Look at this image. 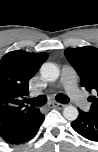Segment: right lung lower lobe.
<instances>
[{"label":"right lung lower lobe","instance_id":"obj_1","mask_svg":"<svg viewBox=\"0 0 98 152\" xmlns=\"http://www.w3.org/2000/svg\"><path fill=\"white\" fill-rule=\"evenodd\" d=\"M43 121L44 115L38 109L17 127L3 135H0V138L9 144L27 142L36 135Z\"/></svg>","mask_w":98,"mask_h":152}]
</instances>
